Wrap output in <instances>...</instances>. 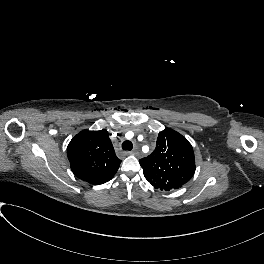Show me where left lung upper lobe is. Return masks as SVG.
Instances as JSON below:
<instances>
[{
	"instance_id": "1",
	"label": "left lung upper lobe",
	"mask_w": 264,
	"mask_h": 264,
	"mask_svg": "<svg viewBox=\"0 0 264 264\" xmlns=\"http://www.w3.org/2000/svg\"><path fill=\"white\" fill-rule=\"evenodd\" d=\"M139 162L147 181L155 188L165 191L182 187L195 172L191 144L170 128L159 133L155 150Z\"/></svg>"
}]
</instances>
